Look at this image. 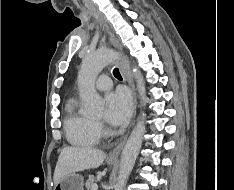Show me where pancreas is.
I'll return each mask as SVG.
<instances>
[{"instance_id":"cf45deb5","label":"pancreas","mask_w":234,"mask_h":190,"mask_svg":"<svg viewBox=\"0 0 234 190\" xmlns=\"http://www.w3.org/2000/svg\"><path fill=\"white\" fill-rule=\"evenodd\" d=\"M94 184H95V177L93 175H89V178L85 183L86 190H91Z\"/></svg>"}]
</instances>
